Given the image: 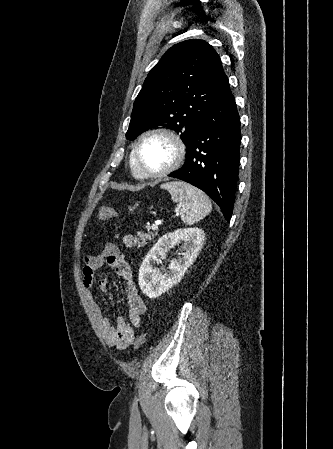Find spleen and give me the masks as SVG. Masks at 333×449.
Segmentation results:
<instances>
[{"label": "spleen", "mask_w": 333, "mask_h": 449, "mask_svg": "<svg viewBox=\"0 0 333 449\" xmlns=\"http://www.w3.org/2000/svg\"><path fill=\"white\" fill-rule=\"evenodd\" d=\"M162 188L168 190L173 201L178 203L181 220L186 225L198 222L212 210L208 196L193 185L174 181L163 184Z\"/></svg>", "instance_id": "1"}]
</instances>
